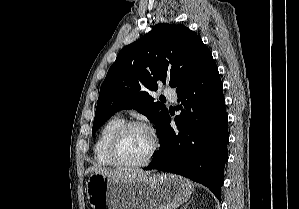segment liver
Segmentation results:
<instances>
[{"instance_id": "1", "label": "liver", "mask_w": 299, "mask_h": 209, "mask_svg": "<svg viewBox=\"0 0 299 209\" xmlns=\"http://www.w3.org/2000/svg\"><path fill=\"white\" fill-rule=\"evenodd\" d=\"M88 173H98L107 176L116 181H140L146 179L149 175V171L143 170H111L100 166H91L86 171Z\"/></svg>"}]
</instances>
